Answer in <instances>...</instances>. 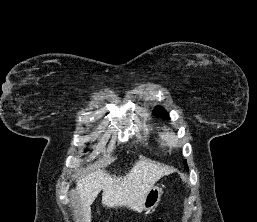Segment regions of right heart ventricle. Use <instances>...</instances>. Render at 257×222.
Masks as SVG:
<instances>
[{"mask_svg":"<svg viewBox=\"0 0 257 222\" xmlns=\"http://www.w3.org/2000/svg\"><path fill=\"white\" fill-rule=\"evenodd\" d=\"M156 138H157L158 142H159L161 145H163V146L166 145V139H165V135H164L163 132L158 131L157 134H156Z\"/></svg>","mask_w":257,"mask_h":222,"instance_id":"1","label":"right heart ventricle"}]
</instances>
